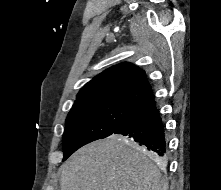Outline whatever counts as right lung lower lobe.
<instances>
[{
    "label": "right lung lower lobe",
    "mask_w": 221,
    "mask_h": 190,
    "mask_svg": "<svg viewBox=\"0 0 221 190\" xmlns=\"http://www.w3.org/2000/svg\"><path fill=\"white\" fill-rule=\"evenodd\" d=\"M159 110L154 98L137 108L114 132L132 138L154 155L163 157L167 153V141Z\"/></svg>",
    "instance_id": "1"
}]
</instances>
